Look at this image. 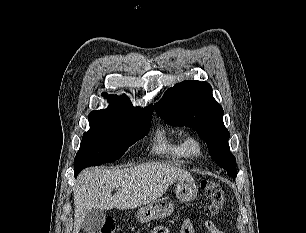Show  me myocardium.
<instances>
[{
  "label": "myocardium",
  "instance_id": "myocardium-1",
  "mask_svg": "<svg viewBox=\"0 0 306 233\" xmlns=\"http://www.w3.org/2000/svg\"><path fill=\"white\" fill-rule=\"evenodd\" d=\"M185 155L190 158L199 157L203 152L201 140L195 135H189L184 139Z\"/></svg>",
  "mask_w": 306,
  "mask_h": 233
}]
</instances>
